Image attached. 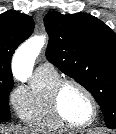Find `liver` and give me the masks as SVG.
I'll return each mask as SVG.
<instances>
[{
  "label": "liver",
  "mask_w": 116,
  "mask_h": 134,
  "mask_svg": "<svg viewBox=\"0 0 116 134\" xmlns=\"http://www.w3.org/2000/svg\"><path fill=\"white\" fill-rule=\"evenodd\" d=\"M0 134H33L30 130L21 129L17 127L4 128L0 127Z\"/></svg>",
  "instance_id": "6515ba94"
}]
</instances>
